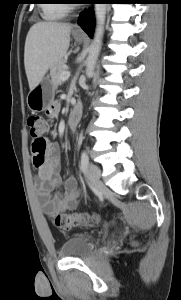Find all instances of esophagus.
<instances>
[{"mask_svg": "<svg viewBox=\"0 0 181 300\" xmlns=\"http://www.w3.org/2000/svg\"><path fill=\"white\" fill-rule=\"evenodd\" d=\"M87 8H88V7H87ZM73 30H74L75 33L84 34L83 30L81 29V27H80L78 24H75V25H74Z\"/></svg>", "mask_w": 181, "mask_h": 300, "instance_id": "1", "label": "esophagus"}]
</instances>
